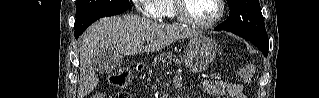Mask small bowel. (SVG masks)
Here are the masks:
<instances>
[{
	"mask_svg": "<svg viewBox=\"0 0 319 98\" xmlns=\"http://www.w3.org/2000/svg\"><path fill=\"white\" fill-rule=\"evenodd\" d=\"M174 84L177 88L182 87V81L179 77H176ZM205 90L214 96L221 97L228 95L231 98H245L243 95L242 85L238 83H230L220 80H209L205 83Z\"/></svg>",
	"mask_w": 319,
	"mask_h": 98,
	"instance_id": "c3829d8e",
	"label": "small bowel"
}]
</instances>
